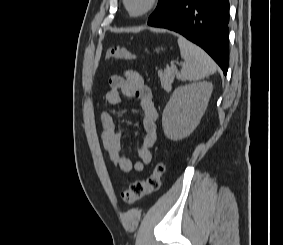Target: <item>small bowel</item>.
Wrapping results in <instances>:
<instances>
[{
  "label": "small bowel",
  "mask_w": 283,
  "mask_h": 245,
  "mask_svg": "<svg viewBox=\"0 0 283 245\" xmlns=\"http://www.w3.org/2000/svg\"><path fill=\"white\" fill-rule=\"evenodd\" d=\"M109 90L106 101L110 107L117 106L121 96L139 101L142 109L141 126L144 133L142 144L138 149V158L132 161L121 153L122 134L118 131L114 117L109 112L100 115L103 128L101 141L107 152L110 163L117 169L129 173L141 172L151 162V148L157 140L158 112L153 102L150 88L143 77L134 70H126L123 74H115L109 78Z\"/></svg>",
  "instance_id": "obj_1"
}]
</instances>
